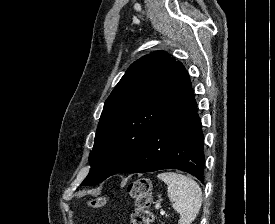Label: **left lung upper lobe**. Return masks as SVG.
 <instances>
[{
  "label": "left lung upper lobe",
  "instance_id": "1",
  "mask_svg": "<svg viewBox=\"0 0 275 224\" xmlns=\"http://www.w3.org/2000/svg\"><path fill=\"white\" fill-rule=\"evenodd\" d=\"M190 88L182 63L164 51L135 61L104 104L90 172L81 185L127 172L157 124Z\"/></svg>",
  "mask_w": 275,
  "mask_h": 224
}]
</instances>
